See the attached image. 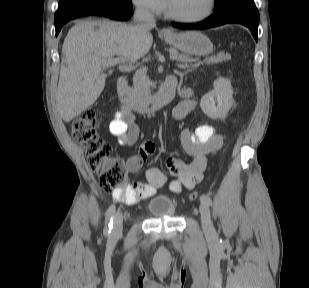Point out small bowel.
Instances as JSON below:
<instances>
[{"mask_svg": "<svg viewBox=\"0 0 309 288\" xmlns=\"http://www.w3.org/2000/svg\"><path fill=\"white\" fill-rule=\"evenodd\" d=\"M168 81L176 83L174 78ZM184 99L173 111L175 120H181L191 113L196 107V101L192 98L191 90L183 91ZM109 133L118 138L122 145L133 146L139 137V127L135 122V116L131 110L123 108L115 113V117L109 124ZM180 143L186 155L192 158L186 162L179 157L167 159L169 173L175 178L170 184L173 192H180L182 188L193 189L203 178L206 168L207 155L218 151L223 144V135L216 133L209 124H202L194 131L184 128L180 133ZM156 152L153 142L144 143L137 154L129 156L126 160L127 169L135 172L141 168L150 155ZM166 182L165 175L158 168L147 171V182H136L122 191L114 192L115 200L134 204L140 200L154 195Z\"/></svg>", "mask_w": 309, "mask_h": 288, "instance_id": "small-bowel-1", "label": "small bowel"}]
</instances>
